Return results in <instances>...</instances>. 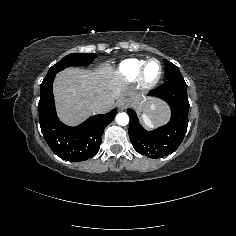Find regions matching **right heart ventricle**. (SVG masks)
Segmentation results:
<instances>
[{
	"label": "right heart ventricle",
	"mask_w": 236,
	"mask_h": 236,
	"mask_svg": "<svg viewBox=\"0 0 236 236\" xmlns=\"http://www.w3.org/2000/svg\"><path fill=\"white\" fill-rule=\"evenodd\" d=\"M146 61V59L136 58L124 60L115 71L116 79L124 83L136 81Z\"/></svg>",
	"instance_id": "e07e8e85"
}]
</instances>
